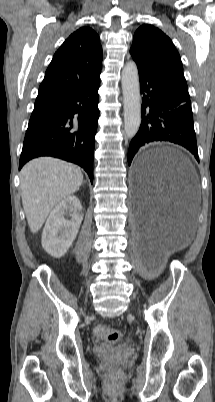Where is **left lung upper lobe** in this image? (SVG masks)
Wrapping results in <instances>:
<instances>
[{
  "label": "left lung upper lobe",
  "mask_w": 215,
  "mask_h": 402,
  "mask_svg": "<svg viewBox=\"0 0 215 402\" xmlns=\"http://www.w3.org/2000/svg\"><path fill=\"white\" fill-rule=\"evenodd\" d=\"M138 70L159 77L189 97L180 55L171 39L153 25H141L130 49Z\"/></svg>",
  "instance_id": "left-lung-upper-lobe-1"
}]
</instances>
